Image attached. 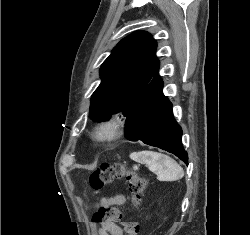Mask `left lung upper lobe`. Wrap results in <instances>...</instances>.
Segmentation results:
<instances>
[{
	"label": "left lung upper lobe",
	"instance_id": "left-lung-upper-lobe-1",
	"mask_svg": "<svg viewBox=\"0 0 250 235\" xmlns=\"http://www.w3.org/2000/svg\"><path fill=\"white\" fill-rule=\"evenodd\" d=\"M156 42L145 31L122 39L100 69L102 81L91 98L90 118L108 120L122 112L128 118L135 102L158 73Z\"/></svg>",
	"mask_w": 250,
	"mask_h": 235
}]
</instances>
